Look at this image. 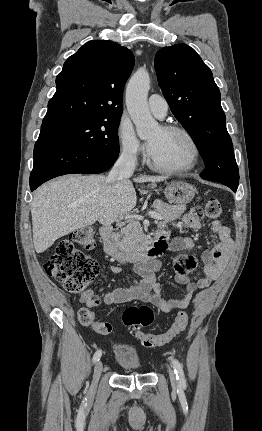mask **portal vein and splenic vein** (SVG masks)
Here are the masks:
<instances>
[{"label": "portal vein and splenic vein", "mask_w": 262, "mask_h": 431, "mask_svg": "<svg viewBox=\"0 0 262 431\" xmlns=\"http://www.w3.org/2000/svg\"><path fill=\"white\" fill-rule=\"evenodd\" d=\"M148 215L155 220H161L162 219V217L159 214H157L156 212H149Z\"/></svg>", "instance_id": "1"}]
</instances>
